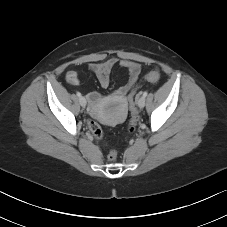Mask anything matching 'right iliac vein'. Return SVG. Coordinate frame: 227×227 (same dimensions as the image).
I'll return each instance as SVG.
<instances>
[{
	"instance_id": "obj_1",
	"label": "right iliac vein",
	"mask_w": 227,
	"mask_h": 227,
	"mask_svg": "<svg viewBox=\"0 0 227 227\" xmlns=\"http://www.w3.org/2000/svg\"><path fill=\"white\" fill-rule=\"evenodd\" d=\"M79 103H80V105H81L82 107H85L86 104H87V101H86V99H85L84 97H80V98H79Z\"/></svg>"
}]
</instances>
